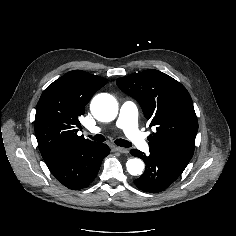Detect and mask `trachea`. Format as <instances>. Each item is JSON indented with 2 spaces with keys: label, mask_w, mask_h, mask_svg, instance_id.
Segmentation results:
<instances>
[{
  "label": "trachea",
  "mask_w": 236,
  "mask_h": 236,
  "mask_svg": "<svg viewBox=\"0 0 236 236\" xmlns=\"http://www.w3.org/2000/svg\"><path fill=\"white\" fill-rule=\"evenodd\" d=\"M92 140L94 141H98V142H103L105 141V137L101 134H96L94 136H89ZM115 144L118 145V146H121V147H131L132 144L130 142H128L127 140H124V139H116L115 141Z\"/></svg>",
  "instance_id": "trachea-1"
}]
</instances>
